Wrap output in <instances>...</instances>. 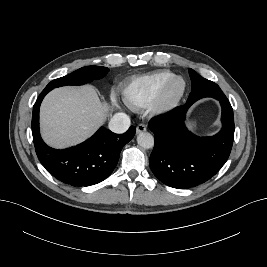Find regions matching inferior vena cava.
<instances>
[{
  "mask_svg": "<svg viewBox=\"0 0 267 267\" xmlns=\"http://www.w3.org/2000/svg\"><path fill=\"white\" fill-rule=\"evenodd\" d=\"M130 126V118L125 113H116L110 119L109 129L114 133H124Z\"/></svg>",
  "mask_w": 267,
  "mask_h": 267,
  "instance_id": "inferior-vena-cava-1",
  "label": "inferior vena cava"
}]
</instances>
